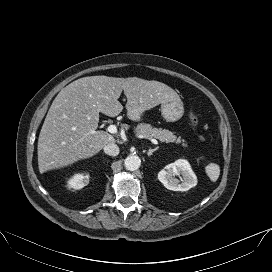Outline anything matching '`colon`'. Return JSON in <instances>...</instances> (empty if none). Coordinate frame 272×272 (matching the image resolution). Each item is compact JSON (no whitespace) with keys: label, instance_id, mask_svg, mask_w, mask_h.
I'll return each instance as SVG.
<instances>
[{"label":"colon","instance_id":"1","mask_svg":"<svg viewBox=\"0 0 272 272\" xmlns=\"http://www.w3.org/2000/svg\"><path fill=\"white\" fill-rule=\"evenodd\" d=\"M189 121H190V124L194 127V128H197L198 124H199V117L197 115V113L195 112H190L189 114ZM199 139L204 141L205 140V136L202 135V134H199Z\"/></svg>","mask_w":272,"mask_h":272}]
</instances>
